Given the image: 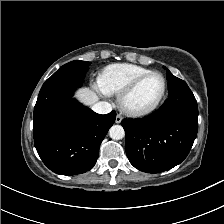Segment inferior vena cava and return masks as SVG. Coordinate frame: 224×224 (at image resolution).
I'll return each mask as SVG.
<instances>
[{
  "label": "inferior vena cava",
  "mask_w": 224,
  "mask_h": 224,
  "mask_svg": "<svg viewBox=\"0 0 224 224\" xmlns=\"http://www.w3.org/2000/svg\"><path fill=\"white\" fill-rule=\"evenodd\" d=\"M92 109L98 114H107L112 111V106L108 102L100 101L95 103Z\"/></svg>",
  "instance_id": "602c4592"
}]
</instances>
